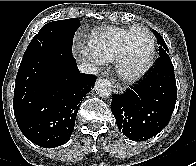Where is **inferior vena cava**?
<instances>
[{"mask_svg": "<svg viewBox=\"0 0 196 166\" xmlns=\"http://www.w3.org/2000/svg\"><path fill=\"white\" fill-rule=\"evenodd\" d=\"M78 70L81 72V73H84V74H89V75H97L98 74V70L97 68L90 64V63H81L78 65Z\"/></svg>", "mask_w": 196, "mask_h": 166, "instance_id": "inferior-vena-cava-1", "label": "inferior vena cava"}]
</instances>
